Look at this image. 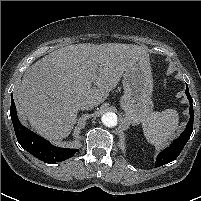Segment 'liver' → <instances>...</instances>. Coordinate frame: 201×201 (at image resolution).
Wrapping results in <instances>:
<instances>
[{
  "mask_svg": "<svg viewBox=\"0 0 201 201\" xmlns=\"http://www.w3.org/2000/svg\"><path fill=\"white\" fill-rule=\"evenodd\" d=\"M140 57L149 59V54L133 44L83 43L57 49L26 70L16 90L18 111L41 136L62 140L76 122L78 104L103 103Z\"/></svg>",
  "mask_w": 201,
  "mask_h": 201,
  "instance_id": "1",
  "label": "liver"
}]
</instances>
